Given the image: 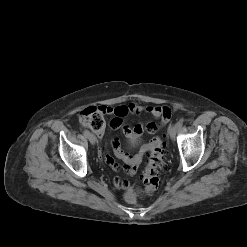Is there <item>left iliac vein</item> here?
<instances>
[{"label":"left iliac vein","mask_w":247,"mask_h":247,"mask_svg":"<svg viewBox=\"0 0 247 247\" xmlns=\"http://www.w3.org/2000/svg\"><path fill=\"white\" fill-rule=\"evenodd\" d=\"M178 130H179V128H178L177 124L172 125V126L169 127V131L168 132H169V136H170V138L172 140L175 139V136H176Z\"/></svg>","instance_id":"4c4485c4"}]
</instances>
